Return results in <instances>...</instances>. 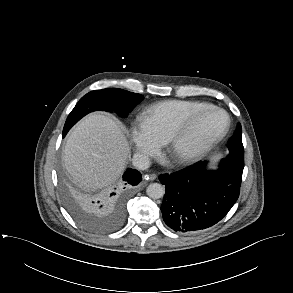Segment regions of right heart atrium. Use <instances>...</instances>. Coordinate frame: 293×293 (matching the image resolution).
<instances>
[{
    "mask_svg": "<svg viewBox=\"0 0 293 293\" xmlns=\"http://www.w3.org/2000/svg\"><path fill=\"white\" fill-rule=\"evenodd\" d=\"M128 138L135 148L136 156L148 158L156 155L163 146V141L142 118L135 119L130 127Z\"/></svg>",
    "mask_w": 293,
    "mask_h": 293,
    "instance_id": "1",
    "label": "right heart atrium"
}]
</instances>
